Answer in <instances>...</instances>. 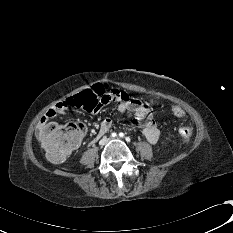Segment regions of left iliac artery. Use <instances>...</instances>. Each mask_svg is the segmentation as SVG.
<instances>
[{
    "mask_svg": "<svg viewBox=\"0 0 233 233\" xmlns=\"http://www.w3.org/2000/svg\"><path fill=\"white\" fill-rule=\"evenodd\" d=\"M119 136H120V137H124V133H122V132H121V133H119ZM126 141H127V142H130V138H129V137H127V138H126Z\"/></svg>",
    "mask_w": 233,
    "mask_h": 233,
    "instance_id": "left-iliac-artery-1",
    "label": "left iliac artery"
}]
</instances>
